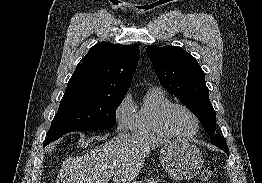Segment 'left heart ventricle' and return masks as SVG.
Returning a JSON list of instances; mask_svg holds the SVG:
<instances>
[{
	"label": "left heart ventricle",
	"instance_id": "left-heart-ventricle-1",
	"mask_svg": "<svg viewBox=\"0 0 262 183\" xmlns=\"http://www.w3.org/2000/svg\"><path fill=\"white\" fill-rule=\"evenodd\" d=\"M173 128L180 133H192L196 128L193 116L182 108L175 109L170 117Z\"/></svg>",
	"mask_w": 262,
	"mask_h": 183
}]
</instances>
